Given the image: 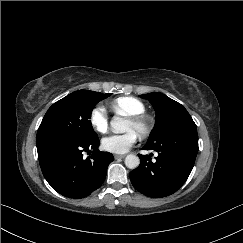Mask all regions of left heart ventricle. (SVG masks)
Listing matches in <instances>:
<instances>
[{
  "mask_svg": "<svg viewBox=\"0 0 243 243\" xmlns=\"http://www.w3.org/2000/svg\"><path fill=\"white\" fill-rule=\"evenodd\" d=\"M125 130H127V131H129V130H132V131H134L135 133H138V127L135 125V124H133L131 121H129L128 119H127V121H126V125H125Z\"/></svg>",
  "mask_w": 243,
  "mask_h": 243,
  "instance_id": "1",
  "label": "left heart ventricle"
}]
</instances>
